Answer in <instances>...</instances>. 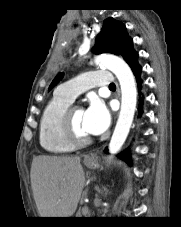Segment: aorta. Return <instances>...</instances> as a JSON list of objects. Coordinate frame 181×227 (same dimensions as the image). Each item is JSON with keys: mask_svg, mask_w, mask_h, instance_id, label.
I'll return each mask as SVG.
<instances>
[{"mask_svg": "<svg viewBox=\"0 0 181 227\" xmlns=\"http://www.w3.org/2000/svg\"><path fill=\"white\" fill-rule=\"evenodd\" d=\"M95 63L112 71L121 87L120 114L109 144V153L116 154L124 144L134 118L137 103L136 82L129 66L117 56L102 54L95 58Z\"/></svg>", "mask_w": 181, "mask_h": 227, "instance_id": "762f6f07", "label": "aorta"}]
</instances>
